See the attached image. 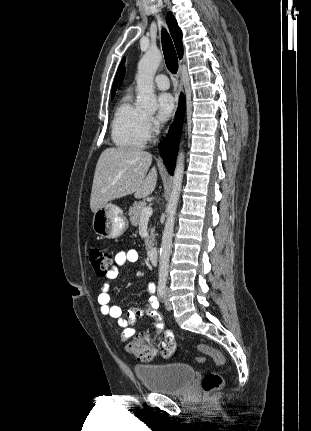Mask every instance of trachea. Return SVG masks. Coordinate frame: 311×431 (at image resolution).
I'll list each match as a JSON object with an SVG mask.
<instances>
[{
	"label": "trachea",
	"mask_w": 311,
	"mask_h": 431,
	"mask_svg": "<svg viewBox=\"0 0 311 431\" xmlns=\"http://www.w3.org/2000/svg\"><path fill=\"white\" fill-rule=\"evenodd\" d=\"M162 48L165 57V63L169 72L173 73V75H176L178 71V57L173 42L165 30L162 31Z\"/></svg>",
	"instance_id": "obj_1"
}]
</instances>
